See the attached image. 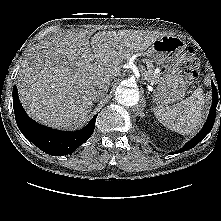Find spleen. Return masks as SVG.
I'll return each instance as SVG.
<instances>
[{"mask_svg":"<svg viewBox=\"0 0 221 221\" xmlns=\"http://www.w3.org/2000/svg\"><path fill=\"white\" fill-rule=\"evenodd\" d=\"M203 105V90L198 88L180 103L155 107L154 114L164 126L185 135L192 133L203 123Z\"/></svg>","mask_w":221,"mask_h":221,"instance_id":"1","label":"spleen"}]
</instances>
